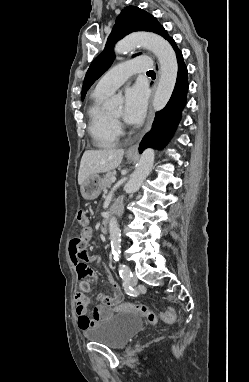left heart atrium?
Listing matches in <instances>:
<instances>
[{
	"instance_id": "left-heart-atrium-1",
	"label": "left heart atrium",
	"mask_w": 249,
	"mask_h": 382,
	"mask_svg": "<svg viewBox=\"0 0 249 382\" xmlns=\"http://www.w3.org/2000/svg\"><path fill=\"white\" fill-rule=\"evenodd\" d=\"M147 107V94L143 87L135 85L126 90L124 119L129 124L140 123Z\"/></svg>"
}]
</instances>
